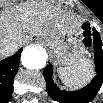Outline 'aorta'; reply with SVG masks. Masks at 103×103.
I'll return each instance as SVG.
<instances>
[{
    "instance_id": "1",
    "label": "aorta",
    "mask_w": 103,
    "mask_h": 103,
    "mask_svg": "<svg viewBox=\"0 0 103 103\" xmlns=\"http://www.w3.org/2000/svg\"><path fill=\"white\" fill-rule=\"evenodd\" d=\"M47 54L45 50L36 46L26 47L21 55V62L27 69H41L45 66Z\"/></svg>"
}]
</instances>
